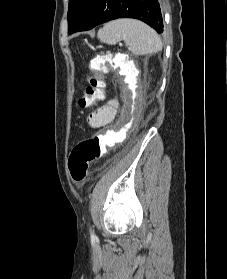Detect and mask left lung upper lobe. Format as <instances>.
<instances>
[{"mask_svg":"<svg viewBox=\"0 0 227 279\" xmlns=\"http://www.w3.org/2000/svg\"><path fill=\"white\" fill-rule=\"evenodd\" d=\"M93 0H69L68 33L80 29Z\"/></svg>","mask_w":227,"mask_h":279,"instance_id":"obj_1","label":"left lung upper lobe"}]
</instances>
